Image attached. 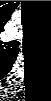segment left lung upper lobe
<instances>
[{
	"instance_id": "left-lung-upper-lobe-1",
	"label": "left lung upper lobe",
	"mask_w": 51,
	"mask_h": 101,
	"mask_svg": "<svg viewBox=\"0 0 51 101\" xmlns=\"http://www.w3.org/2000/svg\"><path fill=\"white\" fill-rule=\"evenodd\" d=\"M34 5L39 9V11L42 14H44V15L47 14L46 6L43 3L37 1V2H34Z\"/></svg>"
}]
</instances>
